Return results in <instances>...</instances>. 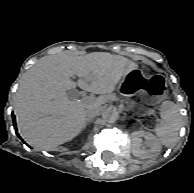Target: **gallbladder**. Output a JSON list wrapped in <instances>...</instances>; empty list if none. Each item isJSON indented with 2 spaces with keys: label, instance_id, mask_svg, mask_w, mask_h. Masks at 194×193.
<instances>
[{
  "label": "gallbladder",
  "instance_id": "1",
  "mask_svg": "<svg viewBox=\"0 0 194 193\" xmlns=\"http://www.w3.org/2000/svg\"><path fill=\"white\" fill-rule=\"evenodd\" d=\"M74 90H69L67 93L69 96H71V93L73 92Z\"/></svg>",
  "mask_w": 194,
  "mask_h": 193
}]
</instances>
